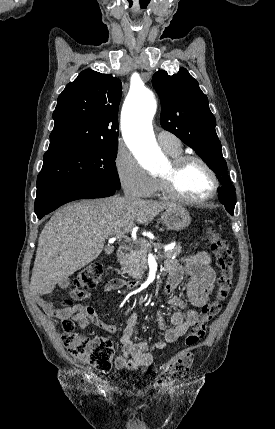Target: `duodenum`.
<instances>
[{
    "mask_svg": "<svg viewBox=\"0 0 275 429\" xmlns=\"http://www.w3.org/2000/svg\"><path fill=\"white\" fill-rule=\"evenodd\" d=\"M130 254V251L127 247H120L117 251V261L118 263L122 264L124 262H126V260L128 259ZM140 285L139 282H131L130 284H128L129 288H135L138 287Z\"/></svg>",
    "mask_w": 275,
    "mask_h": 429,
    "instance_id": "duodenum-1",
    "label": "duodenum"
}]
</instances>
